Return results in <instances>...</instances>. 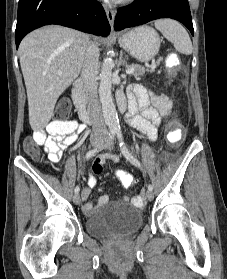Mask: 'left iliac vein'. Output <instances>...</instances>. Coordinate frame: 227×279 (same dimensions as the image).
Here are the masks:
<instances>
[{
    "mask_svg": "<svg viewBox=\"0 0 227 279\" xmlns=\"http://www.w3.org/2000/svg\"><path fill=\"white\" fill-rule=\"evenodd\" d=\"M111 148H112V146H109V149H111ZM146 198H147L148 201H152L153 198H154L153 192L150 191V190H148V191L146 192Z\"/></svg>",
    "mask_w": 227,
    "mask_h": 279,
    "instance_id": "1",
    "label": "left iliac vein"
}]
</instances>
